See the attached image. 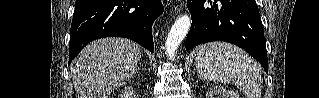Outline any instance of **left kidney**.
Here are the masks:
<instances>
[{"label":"left kidney","mask_w":319,"mask_h":98,"mask_svg":"<svg viewBox=\"0 0 319 98\" xmlns=\"http://www.w3.org/2000/svg\"><path fill=\"white\" fill-rule=\"evenodd\" d=\"M239 98V95L220 86H214L206 93V98Z\"/></svg>","instance_id":"obj_1"}]
</instances>
